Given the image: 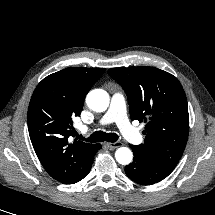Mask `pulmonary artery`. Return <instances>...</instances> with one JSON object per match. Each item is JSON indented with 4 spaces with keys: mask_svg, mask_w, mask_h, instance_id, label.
I'll use <instances>...</instances> for the list:
<instances>
[{
    "mask_svg": "<svg viewBox=\"0 0 215 215\" xmlns=\"http://www.w3.org/2000/svg\"><path fill=\"white\" fill-rule=\"evenodd\" d=\"M110 123H116L123 136L133 144H139L142 142V136L139 131L134 128L126 115V103L123 94L116 92L111 97L109 109L100 119V125H107ZM82 131H86L87 127L82 126Z\"/></svg>",
    "mask_w": 215,
    "mask_h": 215,
    "instance_id": "e3ab8cb5",
    "label": "pulmonary artery"
}]
</instances>
